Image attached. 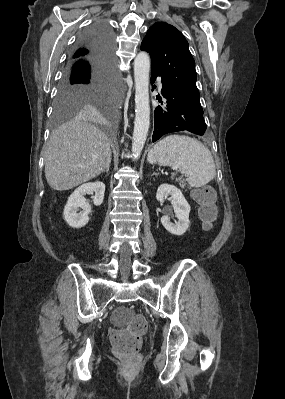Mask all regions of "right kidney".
<instances>
[{
  "label": "right kidney",
  "mask_w": 285,
  "mask_h": 399,
  "mask_svg": "<svg viewBox=\"0 0 285 399\" xmlns=\"http://www.w3.org/2000/svg\"><path fill=\"white\" fill-rule=\"evenodd\" d=\"M95 193L93 203L96 206L102 204L105 193V184L102 182L85 183L75 189V191L68 198L67 204L64 208V218L67 224L73 228H81L89 221V213L91 212V205L86 201L84 195ZM82 209L78 213L79 209Z\"/></svg>",
  "instance_id": "right-kidney-1"
}]
</instances>
